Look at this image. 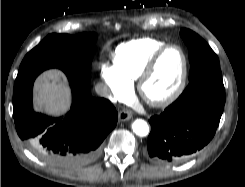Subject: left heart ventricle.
<instances>
[{"instance_id":"1","label":"left heart ventricle","mask_w":245,"mask_h":187,"mask_svg":"<svg viewBox=\"0 0 245 187\" xmlns=\"http://www.w3.org/2000/svg\"><path fill=\"white\" fill-rule=\"evenodd\" d=\"M182 64L180 52L177 49L168 50L145 85L146 95L152 99H160L169 94L179 80Z\"/></svg>"}]
</instances>
